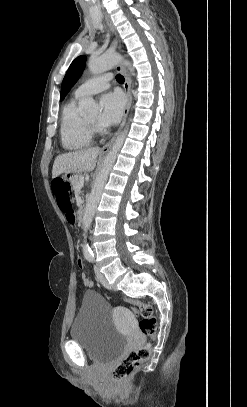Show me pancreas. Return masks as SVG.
<instances>
[{"label": "pancreas", "mask_w": 247, "mask_h": 407, "mask_svg": "<svg viewBox=\"0 0 247 407\" xmlns=\"http://www.w3.org/2000/svg\"><path fill=\"white\" fill-rule=\"evenodd\" d=\"M82 177H83L82 175H75L74 178L71 180V184L74 189L78 187L79 181Z\"/></svg>", "instance_id": "obj_1"}]
</instances>
